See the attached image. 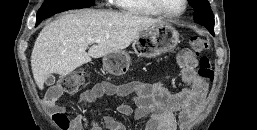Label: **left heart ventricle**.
<instances>
[{"instance_id":"b2bd125f","label":"left heart ventricle","mask_w":257,"mask_h":130,"mask_svg":"<svg viewBox=\"0 0 257 130\" xmlns=\"http://www.w3.org/2000/svg\"><path fill=\"white\" fill-rule=\"evenodd\" d=\"M164 9L177 13L183 8V0H159Z\"/></svg>"}]
</instances>
